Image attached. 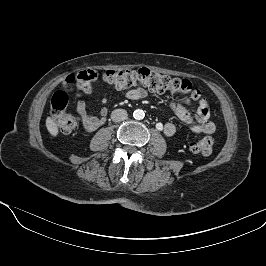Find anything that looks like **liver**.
Listing matches in <instances>:
<instances>
[{
    "mask_svg": "<svg viewBox=\"0 0 266 266\" xmlns=\"http://www.w3.org/2000/svg\"><path fill=\"white\" fill-rule=\"evenodd\" d=\"M46 127H47V130L49 131V133L52 135V136H57L58 135V127H57V124L55 123V121L51 118V117H47L46 119Z\"/></svg>",
    "mask_w": 266,
    "mask_h": 266,
    "instance_id": "6515ba94",
    "label": "liver"
}]
</instances>
